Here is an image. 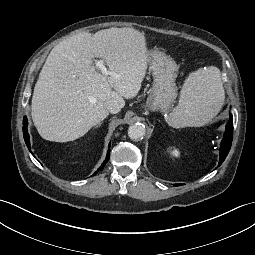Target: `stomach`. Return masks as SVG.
<instances>
[{
	"instance_id": "obj_1",
	"label": "stomach",
	"mask_w": 255,
	"mask_h": 255,
	"mask_svg": "<svg viewBox=\"0 0 255 255\" xmlns=\"http://www.w3.org/2000/svg\"><path fill=\"white\" fill-rule=\"evenodd\" d=\"M148 64L153 76V86L146 107L151 111L167 113L177 97L175 80L178 66L170 56L157 50L149 52Z\"/></svg>"
}]
</instances>
